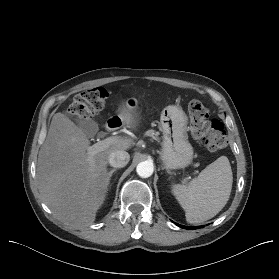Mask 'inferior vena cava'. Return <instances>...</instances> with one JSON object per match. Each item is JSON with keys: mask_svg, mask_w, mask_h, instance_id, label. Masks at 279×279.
<instances>
[{"mask_svg": "<svg viewBox=\"0 0 279 279\" xmlns=\"http://www.w3.org/2000/svg\"><path fill=\"white\" fill-rule=\"evenodd\" d=\"M130 155L124 150H116L110 153L108 162L112 167L121 168L127 165Z\"/></svg>", "mask_w": 279, "mask_h": 279, "instance_id": "1", "label": "inferior vena cava"}]
</instances>
